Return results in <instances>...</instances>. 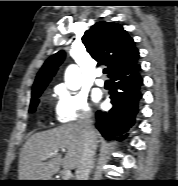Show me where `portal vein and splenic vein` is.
<instances>
[{
	"label": "portal vein and splenic vein",
	"mask_w": 178,
	"mask_h": 186,
	"mask_svg": "<svg viewBox=\"0 0 178 186\" xmlns=\"http://www.w3.org/2000/svg\"><path fill=\"white\" fill-rule=\"evenodd\" d=\"M55 154H56L55 152L46 153L45 156L43 157V159L50 158V157L54 156ZM71 176H72V173H71L70 169H65L63 171V174H62L63 180H69Z\"/></svg>",
	"instance_id": "1"
}]
</instances>
